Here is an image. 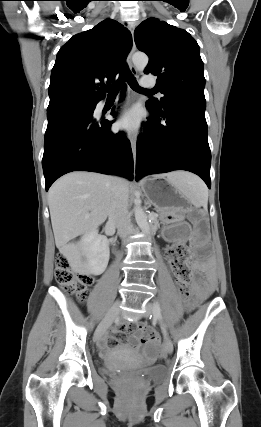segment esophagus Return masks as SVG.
Returning <instances> with one entry per match:
<instances>
[{"label": "esophagus", "instance_id": "1", "mask_svg": "<svg viewBox=\"0 0 261 427\" xmlns=\"http://www.w3.org/2000/svg\"><path fill=\"white\" fill-rule=\"evenodd\" d=\"M130 32L132 34V48L128 54L127 57V63L128 66L132 72V74H137V69L135 68L134 64H133V55L135 53L136 50V46H135V42H134V25L130 26ZM130 143H131V149H132V155H133V161H134V170H136V158H137V147H136V139L134 136L131 137L130 139Z\"/></svg>", "mask_w": 261, "mask_h": 427}]
</instances>
